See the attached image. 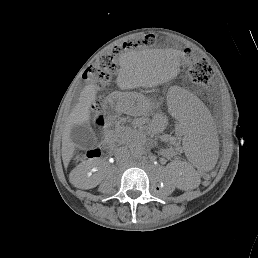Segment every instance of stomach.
<instances>
[{
	"instance_id": "obj_1",
	"label": "stomach",
	"mask_w": 258,
	"mask_h": 258,
	"mask_svg": "<svg viewBox=\"0 0 258 258\" xmlns=\"http://www.w3.org/2000/svg\"><path fill=\"white\" fill-rule=\"evenodd\" d=\"M122 98H123V100H125V101H129V96L127 95V94H122Z\"/></svg>"
}]
</instances>
